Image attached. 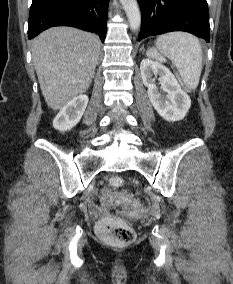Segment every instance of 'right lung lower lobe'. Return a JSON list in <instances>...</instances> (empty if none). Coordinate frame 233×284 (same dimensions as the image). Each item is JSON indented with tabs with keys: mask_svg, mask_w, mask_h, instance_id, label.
Returning a JSON list of instances; mask_svg holds the SVG:
<instances>
[{
	"mask_svg": "<svg viewBox=\"0 0 233 284\" xmlns=\"http://www.w3.org/2000/svg\"><path fill=\"white\" fill-rule=\"evenodd\" d=\"M108 4L109 0H33L28 38L52 26H73L97 33L103 42L107 31Z\"/></svg>",
	"mask_w": 233,
	"mask_h": 284,
	"instance_id": "98d812e1",
	"label": "right lung lower lobe"
}]
</instances>
